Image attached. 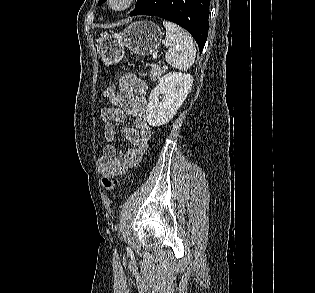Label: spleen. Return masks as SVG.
<instances>
[{
  "instance_id": "1",
  "label": "spleen",
  "mask_w": 315,
  "mask_h": 293,
  "mask_svg": "<svg viewBox=\"0 0 315 293\" xmlns=\"http://www.w3.org/2000/svg\"><path fill=\"white\" fill-rule=\"evenodd\" d=\"M163 26L166 29L164 44L168 48L166 62L182 71L190 69L196 57L193 38L175 23L163 21Z\"/></svg>"
}]
</instances>
